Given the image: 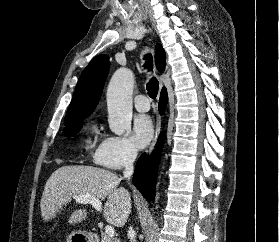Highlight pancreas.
Listing matches in <instances>:
<instances>
[{
	"label": "pancreas",
	"mask_w": 279,
	"mask_h": 242,
	"mask_svg": "<svg viewBox=\"0 0 279 242\" xmlns=\"http://www.w3.org/2000/svg\"><path fill=\"white\" fill-rule=\"evenodd\" d=\"M101 242H120V241L117 238L104 236V237H102Z\"/></svg>",
	"instance_id": "pancreas-1"
}]
</instances>
